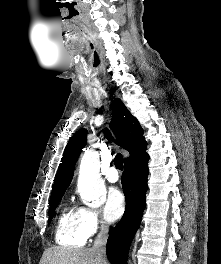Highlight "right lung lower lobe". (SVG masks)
Listing matches in <instances>:
<instances>
[{
	"instance_id": "98d812e1",
	"label": "right lung lower lobe",
	"mask_w": 221,
	"mask_h": 264,
	"mask_svg": "<svg viewBox=\"0 0 221 264\" xmlns=\"http://www.w3.org/2000/svg\"><path fill=\"white\" fill-rule=\"evenodd\" d=\"M149 157L124 164L121 178L126 199L122 219L112 229L106 245V254L111 264H127L131 241L140 226L145 209Z\"/></svg>"
}]
</instances>
